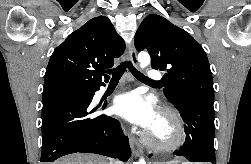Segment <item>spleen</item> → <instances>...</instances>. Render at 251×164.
<instances>
[{"label": "spleen", "mask_w": 251, "mask_h": 164, "mask_svg": "<svg viewBox=\"0 0 251 164\" xmlns=\"http://www.w3.org/2000/svg\"><path fill=\"white\" fill-rule=\"evenodd\" d=\"M186 164H191V163H189V162H185Z\"/></svg>", "instance_id": "1"}]
</instances>
